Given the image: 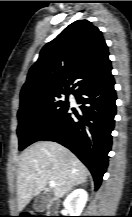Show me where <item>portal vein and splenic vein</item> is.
I'll use <instances>...</instances> for the list:
<instances>
[{
	"label": "portal vein and splenic vein",
	"mask_w": 132,
	"mask_h": 217,
	"mask_svg": "<svg viewBox=\"0 0 132 217\" xmlns=\"http://www.w3.org/2000/svg\"><path fill=\"white\" fill-rule=\"evenodd\" d=\"M56 185V183L54 181H50V186L54 187Z\"/></svg>",
	"instance_id": "portal-vein-and-splenic-vein-1"
}]
</instances>
